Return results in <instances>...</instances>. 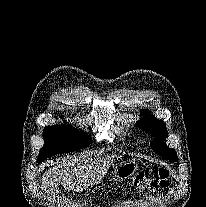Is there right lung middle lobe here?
<instances>
[{
	"mask_svg": "<svg viewBox=\"0 0 206 207\" xmlns=\"http://www.w3.org/2000/svg\"><path fill=\"white\" fill-rule=\"evenodd\" d=\"M44 147L40 150L38 160L50 156L86 148L91 138L71 126H47L44 128Z\"/></svg>",
	"mask_w": 206,
	"mask_h": 207,
	"instance_id": "right-lung-middle-lobe-1",
	"label": "right lung middle lobe"
}]
</instances>
